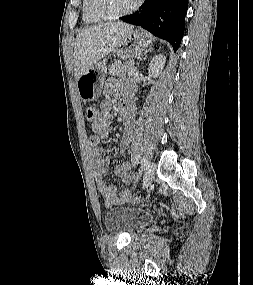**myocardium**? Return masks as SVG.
Segmentation results:
<instances>
[{
	"label": "myocardium",
	"mask_w": 253,
	"mask_h": 285,
	"mask_svg": "<svg viewBox=\"0 0 253 285\" xmlns=\"http://www.w3.org/2000/svg\"><path fill=\"white\" fill-rule=\"evenodd\" d=\"M96 2H97L96 0H88V9L92 16H94L95 18L99 20H115V19L122 18L124 16L130 15L133 12H135L140 7L143 0H136L130 8H128L125 11L115 13V14L102 13L101 11L98 10L96 6Z\"/></svg>",
	"instance_id": "myocardium-1"
}]
</instances>
